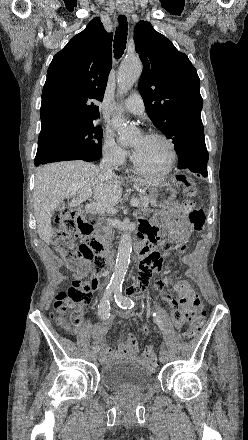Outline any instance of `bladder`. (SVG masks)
I'll return each mask as SVG.
<instances>
[{"label": "bladder", "instance_id": "obj_1", "mask_svg": "<svg viewBox=\"0 0 248 440\" xmlns=\"http://www.w3.org/2000/svg\"><path fill=\"white\" fill-rule=\"evenodd\" d=\"M100 382L114 391H143L153 381L152 370L130 360H113L104 363L99 370Z\"/></svg>", "mask_w": 248, "mask_h": 440}]
</instances>
